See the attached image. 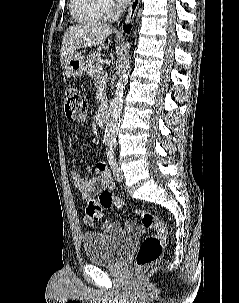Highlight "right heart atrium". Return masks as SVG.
Instances as JSON below:
<instances>
[{
	"label": "right heart atrium",
	"instance_id": "right-heart-atrium-1",
	"mask_svg": "<svg viewBox=\"0 0 239 303\" xmlns=\"http://www.w3.org/2000/svg\"><path fill=\"white\" fill-rule=\"evenodd\" d=\"M101 11L105 16H113L117 11V6L113 0H99Z\"/></svg>",
	"mask_w": 239,
	"mask_h": 303
}]
</instances>
